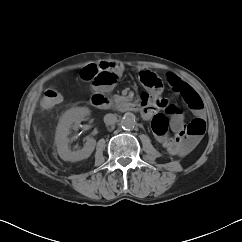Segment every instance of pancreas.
<instances>
[{
  "label": "pancreas",
  "mask_w": 242,
  "mask_h": 242,
  "mask_svg": "<svg viewBox=\"0 0 242 242\" xmlns=\"http://www.w3.org/2000/svg\"><path fill=\"white\" fill-rule=\"evenodd\" d=\"M113 101H114L115 103H120V102H122V101H125V98L122 97V96H119V95H114V96H113Z\"/></svg>",
  "instance_id": "1"
}]
</instances>
